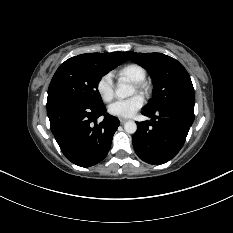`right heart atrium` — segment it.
Instances as JSON below:
<instances>
[{
	"instance_id": "right-heart-atrium-1",
	"label": "right heart atrium",
	"mask_w": 233,
	"mask_h": 233,
	"mask_svg": "<svg viewBox=\"0 0 233 233\" xmlns=\"http://www.w3.org/2000/svg\"><path fill=\"white\" fill-rule=\"evenodd\" d=\"M96 91L104 102H110L115 95V86L111 74L106 73L96 82Z\"/></svg>"
}]
</instances>
